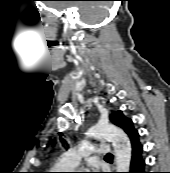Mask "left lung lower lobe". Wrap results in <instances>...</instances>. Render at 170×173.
I'll list each match as a JSON object with an SVG mask.
<instances>
[{"label": "left lung lower lobe", "mask_w": 170, "mask_h": 173, "mask_svg": "<svg viewBox=\"0 0 170 173\" xmlns=\"http://www.w3.org/2000/svg\"><path fill=\"white\" fill-rule=\"evenodd\" d=\"M143 146L140 142L132 146V158L129 173H147L145 172V161L142 157Z\"/></svg>", "instance_id": "0a47b994"}]
</instances>
